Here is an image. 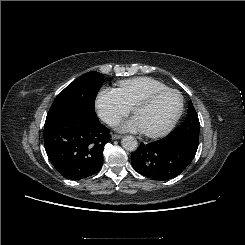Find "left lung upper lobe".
Wrapping results in <instances>:
<instances>
[{
    "instance_id": "obj_1",
    "label": "left lung upper lobe",
    "mask_w": 245,
    "mask_h": 245,
    "mask_svg": "<svg viewBox=\"0 0 245 245\" xmlns=\"http://www.w3.org/2000/svg\"><path fill=\"white\" fill-rule=\"evenodd\" d=\"M199 119L191 101L188 104V112L185 121L174 129L166 137L168 139L188 138L199 141Z\"/></svg>"
}]
</instances>
